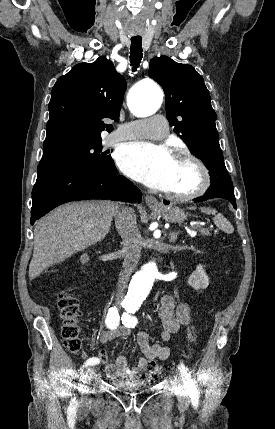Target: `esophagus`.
Instances as JSON below:
<instances>
[{
    "label": "esophagus",
    "instance_id": "1",
    "mask_svg": "<svg viewBox=\"0 0 275 429\" xmlns=\"http://www.w3.org/2000/svg\"><path fill=\"white\" fill-rule=\"evenodd\" d=\"M145 202L151 208H158V207H160V204H159L158 200L154 196H152V195H146L145 196Z\"/></svg>",
    "mask_w": 275,
    "mask_h": 429
}]
</instances>
